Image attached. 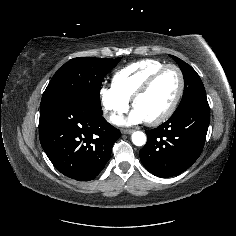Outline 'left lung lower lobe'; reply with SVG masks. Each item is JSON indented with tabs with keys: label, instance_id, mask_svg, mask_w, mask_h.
Segmentation results:
<instances>
[{
	"label": "left lung lower lobe",
	"instance_id": "0a47b994",
	"mask_svg": "<svg viewBox=\"0 0 236 236\" xmlns=\"http://www.w3.org/2000/svg\"><path fill=\"white\" fill-rule=\"evenodd\" d=\"M209 121V104L203 99L175 111L157 128L145 131L147 143L139 152L144 167L165 178L185 171L202 152Z\"/></svg>",
	"mask_w": 236,
	"mask_h": 236
}]
</instances>
